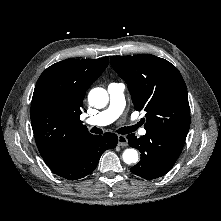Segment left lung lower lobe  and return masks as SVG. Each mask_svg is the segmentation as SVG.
Listing matches in <instances>:
<instances>
[{"label": "left lung lower lobe", "instance_id": "1", "mask_svg": "<svg viewBox=\"0 0 221 221\" xmlns=\"http://www.w3.org/2000/svg\"><path fill=\"white\" fill-rule=\"evenodd\" d=\"M131 147L141 152V160L131 171L145 179H155L165 175L175 164L182 152L186 136L160 131H146L137 138L127 136Z\"/></svg>", "mask_w": 221, "mask_h": 221}]
</instances>
